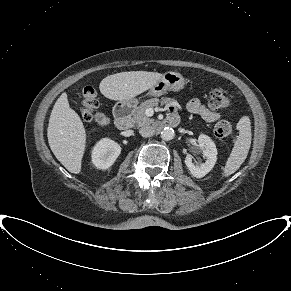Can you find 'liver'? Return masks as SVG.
Returning a JSON list of instances; mask_svg holds the SVG:
<instances>
[{
  "mask_svg": "<svg viewBox=\"0 0 291 291\" xmlns=\"http://www.w3.org/2000/svg\"><path fill=\"white\" fill-rule=\"evenodd\" d=\"M162 76L147 71L116 73L105 77L99 89L106 98L126 100L149 90ZM47 137L61 164L71 173H80L87 135L80 116L70 108L66 93H62L52 109Z\"/></svg>",
  "mask_w": 291,
  "mask_h": 291,
  "instance_id": "liver-1",
  "label": "liver"
}]
</instances>
